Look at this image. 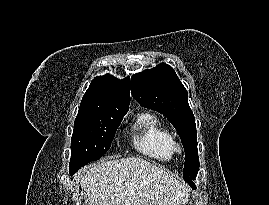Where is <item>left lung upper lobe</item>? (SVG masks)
I'll list each match as a JSON object with an SVG mask.
<instances>
[{
	"instance_id": "obj_1",
	"label": "left lung upper lobe",
	"mask_w": 269,
	"mask_h": 205,
	"mask_svg": "<svg viewBox=\"0 0 269 205\" xmlns=\"http://www.w3.org/2000/svg\"><path fill=\"white\" fill-rule=\"evenodd\" d=\"M131 93L143 106L163 114L177 130L185 150L184 180L194 187L199 170L195 117L188 94L173 68L161 63L131 78Z\"/></svg>"
}]
</instances>
